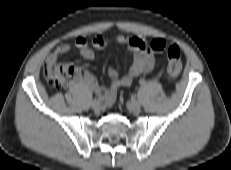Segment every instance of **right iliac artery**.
<instances>
[{"label":"right iliac artery","instance_id":"obj_1","mask_svg":"<svg viewBox=\"0 0 231 170\" xmlns=\"http://www.w3.org/2000/svg\"><path fill=\"white\" fill-rule=\"evenodd\" d=\"M98 100H103V97L102 96H98Z\"/></svg>","mask_w":231,"mask_h":170}]
</instances>
